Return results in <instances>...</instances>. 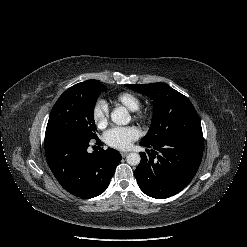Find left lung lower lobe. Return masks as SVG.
<instances>
[{
	"label": "left lung lower lobe",
	"mask_w": 247,
	"mask_h": 247,
	"mask_svg": "<svg viewBox=\"0 0 247 247\" xmlns=\"http://www.w3.org/2000/svg\"><path fill=\"white\" fill-rule=\"evenodd\" d=\"M141 161L135 170L138 186L148 196L164 199L183 190L195 176L203 155L204 141L174 139L142 143Z\"/></svg>",
	"instance_id": "1"
}]
</instances>
